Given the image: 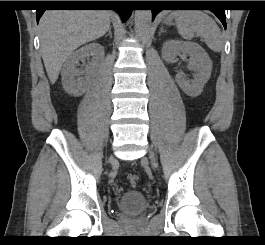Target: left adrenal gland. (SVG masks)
I'll return each mask as SVG.
<instances>
[{
	"label": "left adrenal gland",
	"mask_w": 265,
	"mask_h": 245,
	"mask_svg": "<svg viewBox=\"0 0 265 245\" xmlns=\"http://www.w3.org/2000/svg\"><path fill=\"white\" fill-rule=\"evenodd\" d=\"M165 31L163 30V28H160V32H159V36L164 33Z\"/></svg>",
	"instance_id": "left-adrenal-gland-1"
}]
</instances>
